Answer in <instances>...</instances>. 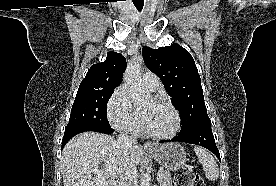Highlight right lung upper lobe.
<instances>
[{
    "instance_id": "cb5924a9",
    "label": "right lung upper lobe",
    "mask_w": 276,
    "mask_h": 186,
    "mask_svg": "<svg viewBox=\"0 0 276 186\" xmlns=\"http://www.w3.org/2000/svg\"><path fill=\"white\" fill-rule=\"evenodd\" d=\"M126 59L119 53L108 52L104 62L94 64L82 80L79 90L115 89L121 82Z\"/></svg>"
}]
</instances>
